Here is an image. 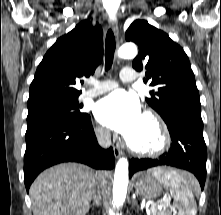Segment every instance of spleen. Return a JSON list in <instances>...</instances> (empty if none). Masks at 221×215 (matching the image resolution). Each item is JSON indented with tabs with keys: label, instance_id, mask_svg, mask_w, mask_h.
Here are the masks:
<instances>
[{
	"label": "spleen",
	"instance_id": "spleen-1",
	"mask_svg": "<svg viewBox=\"0 0 221 215\" xmlns=\"http://www.w3.org/2000/svg\"><path fill=\"white\" fill-rule=\"evenodd\" d=\"M164 187L170 190L178 208V215H196L197 206L192 190L197 186L196 179L187 172L164 170L158 173Z\"/></svg>",
	"mask_w": 221,
	"mask_h": 215
}]
</instances>
